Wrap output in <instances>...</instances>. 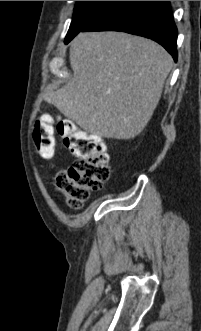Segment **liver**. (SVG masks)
Returning a JSON list of instances; mask_svg holds the SVG:
<instances>
[{"mask_svg":"<svg viewBox=\"0 0 201 331\" xmlns=\"http://www.w3.org/2000/svg\"><path fill=\"white\" fill-rule=\"evenodd\" d=\"M69 60L73 76L45 100L85 131L123 140L146 127L173 67L161 45L124 32L79 33Z\"/></svg>","mask_w":201,"mask_h":331,"instance_id":"6515ba94","label":"liver"}]
</instances>
